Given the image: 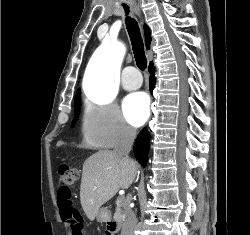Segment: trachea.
Listing matches in <instances>:
<instances>
[{"mask_svg":"<svg viewBox=\"0 0 250 235\" xmlns=\"http://www.w3.org/2000/svg\"><path fill=\"white\" fill-rule=\"evenodd\" d=\"M124 9L127 15L125 18L126 28L131 40L135 61L137 66L141 70H144L147 66V59L145 56L144 44L141 37L140 28L137 21L134 18L128 16L129 8L127 6H124Z\"/></svg>","mask_w":250,"mask_h":235,"instance_id":"obj_1","label":"trachea"}]
</instances>
